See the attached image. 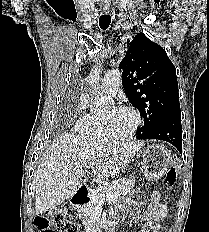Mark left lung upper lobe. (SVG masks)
<instances>
[{
	"label": "left lung upper lobe",
	"mask_w": 209,
	"mask_h": 232,
	"mask_svg": "<svg viewBox=\"0 0 209 232\" xmlns=\"http://www.w3.org/2000/svg\"><path fill=\"white\" fill-rule=\"evenodd\" d=\"M130 103L144 117L137 134H147L162 121L180 115L176 68L165 50L138 33L119 64Z\"/></svg>",
	"instance_id": "5c2ea615"
}]
</instances>
